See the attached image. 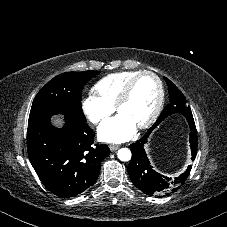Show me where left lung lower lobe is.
<instances>
[{
  "mask_svg": "<svg viewBox=\"0 0 227 227\" xmlns=\"http://www.w3.org/2000/svg\"><path fill=\"white\" fill-rule=\"evenodd\" d=\"M187 121L191 129L190 147L192 160H194L197 153V131L193 117H189ZM148 137L149 134L146 133L144 137L130 145L132 158L128 165L129 177L132 183L147 195L157 197L168 196L179 189V187L185 182L189 176L191 165L188 166L184 173L175 178V180L159 174L154 170V167L151 165L144 149Z\"/></svg>",
  "mask_w": 227,
  "mask_h": 227,
  "instance_id": "obj_1",
  "label": "left lung lower lobe"
}]
</instances>
